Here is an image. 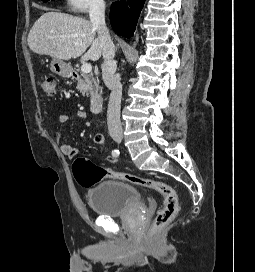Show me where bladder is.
Here are the masks:
<instances>
[{"label": "bladder", "mask_w": 255, "mask_h": 272, "mask_svg": "<svg viewBox=\"0 0 255 272\" xmlns=\"http://www.w3.org/2000/svg\"><path fill=\"white\" fill-rule=\"evenodd\" d=\"M86 198L94 213L107 217L124 215L140 204L138 190L120 180L98 183L86 193Z\"/></svg>", "instance_id": "obj_1"}]
</instances>
